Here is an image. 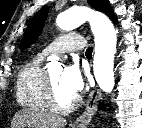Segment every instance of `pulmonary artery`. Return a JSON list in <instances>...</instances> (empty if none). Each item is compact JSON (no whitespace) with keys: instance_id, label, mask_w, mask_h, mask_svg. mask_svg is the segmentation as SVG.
Listing matches in <instances>:
<instances>
[{"instance_id":"1","label":"pulmonary artery","mask_w":142,"mask_h":128,"mask_svg":"<svg viewBox=\"0 0 142 128\" xmlns=\"http://www.w3.org/2000/svg\"><path fill=\"white\" fill-rule=\"evenodd\" d=\"M84 48L85 39L81 35L77 33H68L51 42L43 49L41 54L46 56L49 54H60L71 51H80Z\"/></svg>"}]
</instances>
